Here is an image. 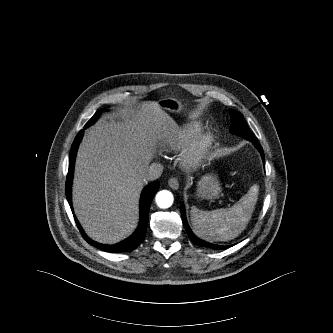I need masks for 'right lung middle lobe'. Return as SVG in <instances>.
Segmentation results:
<instances>
[{
  "label": "right lung middle lobe",
  "instance_id": "obj_1",
  "mask_svg": "<svg viewBox=\"0 0 333 333\" xmlns=\"http://www.w3.org/2000/svg\"><path fill=\"white\" fill-rule=\"evenodd\" d=\"M104 111V109H100L98 110L94 116L87 122V124L85 125V127H88L90 126L91 124H93L97 119L98 117L100 116V114Z\"/></svg>",
  "mask_w": 333,
  "mask_h": 333
}]
</instances>
